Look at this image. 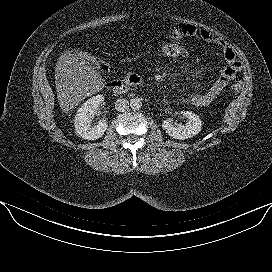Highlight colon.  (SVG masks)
Listing matches in <instances>:
<instances>
[{
    "instance_id": "obj_1",
    "label": "colon",
    "mask_w": 272,
    "mask_h": 272,
    "mask_svg": "<svg viewBox=\"0 0 272 272\" xmlns=\"http://www.w3.org/2000/svg\"><path fill=\"white\" fill-rule=\"evenodd\" d=\"M158 49L160 54L163 57L173 61L184 59L189 54L188 47L185 44H183L180 40H176V39H170L168 41L162 42L159 45ZM73 55L77 57L78 59L93 63L94 65H96V67L99 70L103 72H106L109 70V66L106 62L97 60L91 54L87 52L74 50ZM241 88H242V83L236 82L232 85L231 91L233 93H238L241 90Z\"/></svg>"
}]
</instances>
